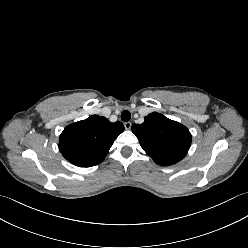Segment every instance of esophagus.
<instances>
[{
	"label": "esophagus",
	"instance_id": "34e87169",
	"mask_svg": "<svg viewBox=\"0 0 248 248\" xmlns=\"http://www.w3.org/2000/svg\"><path fill=\"white\" fill-rule=\"evenodd\" d=\"M131 126H132L131 122H124L125 129L130 130Z\"/></svg>",
	"mask_w": 248,
	"mask_h": 248
}]
</instances>
